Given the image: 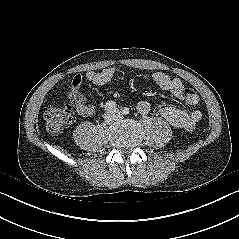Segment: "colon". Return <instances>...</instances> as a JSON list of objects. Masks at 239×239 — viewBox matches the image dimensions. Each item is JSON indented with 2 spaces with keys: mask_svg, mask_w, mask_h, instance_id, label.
<instances>
[{
  "mask_svg": "<svg viewBox=\"0 0 239 239\" xmlns=\"http://www.w3.org/2000/svg\"><path fill=\"white\" fill-rule=\"evenodd\" d=\"M184 101L191 106L199 103V96L196 91L190 87H185L182 91ZM76 105L74 99L63 105H52L44 112V119L48 131L57 134L68 125L72 120V109Z\"/></svg>",
  "mask_w": 239,
  "mask_h": 239,
  "instance_id": "colon-1",
  "label": "colon"
}]
</instances>
